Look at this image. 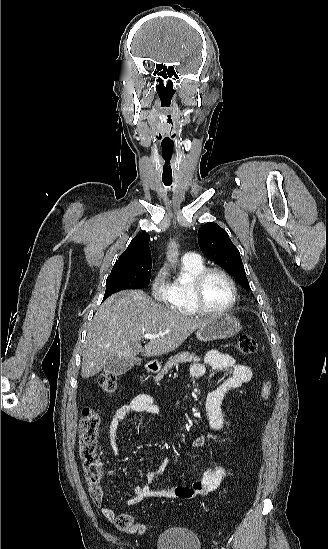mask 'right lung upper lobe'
I'll return each mask as SVG.
<instances>
[{
  "instance_id": "obj_1",
  "label": "right lung upper lobe",
  "mask_w": 328,
  "mask_h": 549,
  "mask_svg": "<svg viewBox=\"0 0 328 549\" xmlns=\"http://www.w3.org/2000/svg\"><path fill=\"white\" fill-rule=\"evenodd\" d=\"M149 234L141 233L134 237L128 248L119 256L112 271L121 269L133 263L151 259V251L148 246Z\"/></svg>"
}]
</instances>
